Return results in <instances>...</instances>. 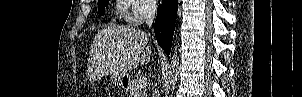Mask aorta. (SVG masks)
Wrapping results in <instances>:
<instances>
[{"mask_svg": "<svg viewBox=\"0 0 302 97\" xmlns=\"http://www.w3.org/2000/svg\"><path fill=\"white\" fill-rule=\"evenodd\" d=\"M178 68H179V57L177 55V51L175 49L172 60H171V71H170V89L173 94L175 88H176V83L178 79Z\"/></svg>", "mask_w": 302, "mask_h": 97, "instance_id": "obj_1", "label": "aorta"}]
</instances>
